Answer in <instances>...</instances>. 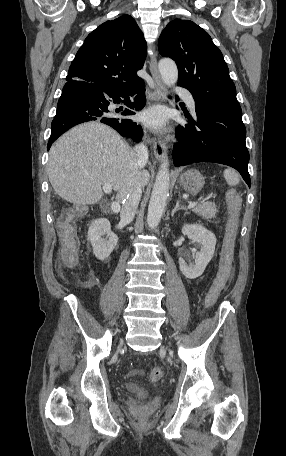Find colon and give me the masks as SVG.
I'll return each instance as SVG.
<instances>
[{"label": "colon", "mask_w": 286, "mask_h": 456, "mask_svg": "<svg viewBox=\"0 0 286 456\" xmlns=\"http://www.w3.org/2000/svg\"><path fill=\"white\" fill-rule=\"evenodd\" d=\"M227 203L231 213V219L228 224L225 246L221 257L220 267L216 279L204 298V307L210 308L217 300L218 296L226 285L230 282L234 274L233 267V254H234V240L237 214L240 207V199L238 194L229 190L227 192ZM62 249L61 260L65 267L72 268L77 261V251L79 247L78 237L76 235L75 226L73 222L66 224L62 236ZM130 370L132 368L130 367ZM163 377V370L160 367H155L150 372V379L153 382L161 380Z\"/></svg>", "instance_id": "5ec220e1"}]
</instances>
